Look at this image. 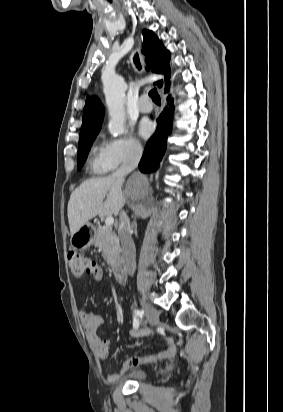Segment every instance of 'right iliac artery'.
<instances>
[{
	"instance_id": "82829eb1",
	"label": "right iliac artery",
	"mask_w": 283,
	"mask_h": 412,
	"mask_svg": "<svg viewBox=\"0 0 283 412\" xmlns=\"http://www.w3.org/2000/svg\"><path fill=\"white\" fill-rule=\"evenodd\" d=\"M143 316H144V311H142V310H135L134 311L133 327L135 329H138V327H139V318H142Z\"/></svg>"
}]
</instances>
